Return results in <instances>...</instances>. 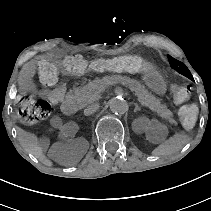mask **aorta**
<instances>
[{"label":"aorta","instance_id":"aorta-1","mask_svg":"<svg viewBox=\"0 0 211 211\" xmlns=\"http://www.w3.org/2000/svg\"><path fill=\"white\" fill-rule=\"evenodd\" d=\"M110 110L119 115H123L128 111V104L121 98H112L109 101Z\"/></svg>","mask_w":211,"mask_h":211}]
</instances>
